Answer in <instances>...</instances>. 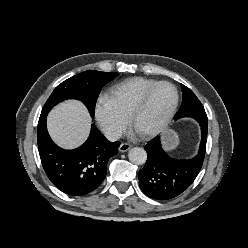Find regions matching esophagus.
<instances>
[{
	"mask_svg": "<svg viewBox=\"0 0 248 248\" xmlns=\"http://www.w3.org/2000/svg\"><path fill=\"white\" fill-rule=\"evenodd\" d=\"M131 148V145L129 143H122L119 147L120 152H126Z\"/></svg>",
	"mask_w": 248,
	"mask_h": 248,
	"instance_id": "1",
	"label": "esophagus"
}]
</instances>
